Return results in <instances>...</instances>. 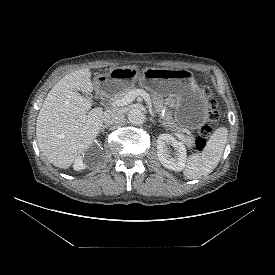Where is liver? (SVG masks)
Instances as JSON below:
<instances>
[{"label": "liver", "mask_w": 275, "mask_h": 275, "mask_svg": "<svg viewBox=\"0 0 275 275\" xmlns=\"http://www.w3.org/2000/svg\"><path fill=\"white\" fill-rule=\"evenodd\" d=\"M94 90L91 72L79 69L65 75L46 96L36 123L40 151L54 166L67 169L98 136L103 110L91 109L92 103L77 91Z\"/></svg>", "instance_id": "liver-1"}]
</instances>
